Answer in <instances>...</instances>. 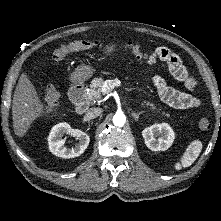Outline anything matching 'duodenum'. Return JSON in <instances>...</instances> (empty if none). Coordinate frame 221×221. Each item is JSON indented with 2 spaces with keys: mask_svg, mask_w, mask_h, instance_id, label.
<instances>
[{
  "mask_svg": "<svg viewBox=\"0 0 221 221\" xmlns=\"http://www.w3.org/2000/svg\"><path fill=\"white\" fill-rule=\"evenodd\" d=\"M69 96L79 114L88 109L87 86L83 82H75L70 88Z\"/></svg>",
  "mask_w": 221,
  "mask_h": 221,
  "instance_id": "duodenum-1",
  "label": "duodenum"
}]
</instances>
